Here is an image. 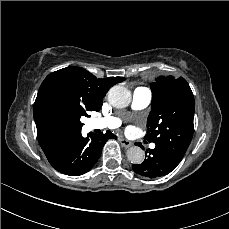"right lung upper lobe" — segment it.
Masks as SVG:
<instances>
[{
    "label": "right lung upper lobe",
    "instance_id": "cb5924a9",
    "mask_svg": "<svg viewBox=\"0 0 229 229\" xmlns=\"http://www.w3.org/2000/svg\"><path fill=\"white\" fill-rule=\"evenodd\" d=\"M124 80L123 77L97 79L87 70L76 66L66 67L49 74L39 88L33 107L38 141L46 157L50 158L63 142L77 133L58 134L44 125L41 118V106L49 95L67 94L78 100L87 111H99L103 103L102 98L108 90Z\"/></svg>",
    "mask_w": 229,
    "mask_h": 229
}]
</instances>
